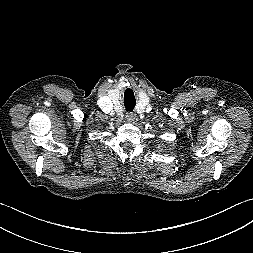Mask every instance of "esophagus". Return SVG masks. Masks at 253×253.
Masks as SVG:
<instances>
[{
	"label": "esophagus",
	"mask_w": 253,
	"mask_h": 253,
	"mask_svg": "<svg viewBox=\"0 0 253 253\" xmlns=\"http://www.w3.org/2000/svg\"><path fill=\"white\" fill-rule=\"evenodd\" d=\"M127 117V119L129 120V121H132L134 118H133V115H127L126 116Z\"/></svg>",
	"instance_id": "obj_1"
}]
</instances>
